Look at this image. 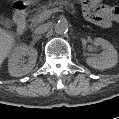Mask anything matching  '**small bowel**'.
Segmentation results:
<instances>
[{
    "instance_id": "c3829d8e",
    "label": "small bowel",
    "mask_w": 119,
    "mask_h": 119,
    "mask_svg": "<svg viewBox=\"0 0 119 119\" xmlns=\"http://www.w3.org/2000/svg\"><path fill=\"white\" fill-rule=\"evenodd\" d=\"M84 18L103 28H108L119 19V7L101 4L96 0H84L81 3Z\"/></svg>"
}]
</instances>
